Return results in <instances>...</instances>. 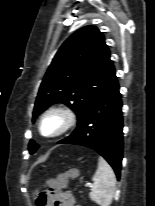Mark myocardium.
<instances>
[{
    "instance_id": "f54148a6",
    "label": "myocardium",
    "mask_w": 155,
    "mask_h": 206,
    "mask_svg": "<svg viewBox=\"0 0 155 206\" xmlns=\"http://www.w3.org/2000/svg\"><path fill=\"white\" fill-rule=\"evenodd\" d=\"M52 117H57L60 124L55 131L46 134L44 132V124ZM77 119V114L71 106L65 104L54 105L43 113L39 121L38 129L40 134L46 138H57L70 131L76 125Z\"/></svg>"
}]
</instances>
